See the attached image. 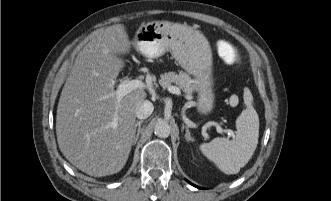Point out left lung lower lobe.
Instances as JSON below:
<instances>
[{
	"mask_svg": "<svg viewBox=\"0 0 331 201\" xmlns=\"http://www.w3.org/2000/svg\"><path fill=\"white\" fill-rule=\"evenodd\" d=\"M189 182V181H188ZM190 183V182H189ZM190 184H192V183H190ZM193 186H195V187H197V188H200V187H198V186H196V185H194V184H192Z\"/></svg>",
	"mask_w": 331,
	"mask_h": 201,
	"instance_id": "0a47b994",
	"label": "left lung lower lobe"
}]
</instances>
